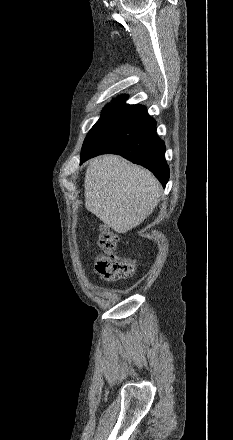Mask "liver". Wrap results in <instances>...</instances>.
I'll list each match as a JSON object with an SVG mask.
<instances>
[{"mask_svg": "<svg viewBox=\"0 0 233 440\" xmlns=\"http://www.w3.org/2000/svg\"><path fill=\"white\" fill-rule=\"evenodd\" d=\"M84 187L87 210L118 233L140 225L161 195L160 183L150 171L116 155L90 160Z\"/></svg>", "mask_w": 233, "mask_h": 440, "instance_id": "obj_1", "label": "liver"}]
</instances>
